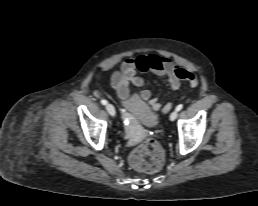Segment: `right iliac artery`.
<instances>
[{
    "label": "right iliac artery",
    "mask_w": 258,
    "mask_h": 206,
    "mask_svg": "<svg viewBox=\"0 0 258 206\" xmlns=\"http://www.w3.org/2000/svg\"><path fill=\"white\" fill-rule=\"evenodd\" d=\"M101 104L106 105V104H107V101H106L105 99H102V100H101Z\"/></svg>",
    "instance_id": "right-iliac-artery-1"
}]
</instances>
